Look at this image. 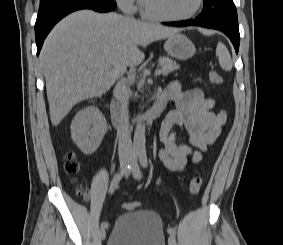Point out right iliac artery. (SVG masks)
Returning <instances> with one entry per match:
<instances>
[{"label": "right iliac artery", "instance_id": "right-iliac-artery-1", "mask_svg": "<svg viewBox=\"0 0 283 245\" xmlns=\"http://www.w3.org/2000/svg\"><path fill=\"white\" fill-rule=\"evenodd\" d=\"M138 154H139V151L134 149V150L132 151L131 158H130V161H129V163L127 164V166L113 178V180H112V182H111V184H110V189H109L111 194H112V193L115 191V189L118 187V185H119L121 179L123 178V176H124L126 173H128V172L131 171V169H132V167H133V163H134V161L136 160ZM107 227H108V223H107V222H103V223L101 224V228H107Z\"/></svg>", "mask_w": 283, "mask_h": 245}]
</instances>
